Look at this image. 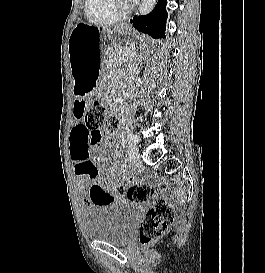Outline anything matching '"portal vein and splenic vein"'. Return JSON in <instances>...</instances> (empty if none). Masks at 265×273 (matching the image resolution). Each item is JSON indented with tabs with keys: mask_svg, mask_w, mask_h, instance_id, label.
I'll use <instances>...</instances> for the list:
<instances>
[{
	"mask_svg": "<svg viewBox=\"0 0 265 273\" xmlns=\"http://www.w3.org/2000/svg\"><path fill=\"white\" fill-rule=\"evenodd\" d=\"M130 55L133 57V56H135V53H131Z\"/></svg>",
	"mask_w": 265,
	"mask_h": 273,
	"instance_id": "portal-vein-and-splenic-vein-1",
	"label": "portal vein and splenic vein"
}]
</instances>
